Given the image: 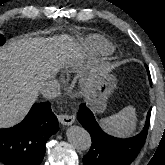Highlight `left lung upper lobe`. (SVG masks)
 Returning a JSON list of instances; mask_svg holds the SVG:
<instances>
[{"mask_svg": "<svg viewBox=\"0 0 165 165\" xmlns=\"http://www.w3.org/2000/svg\"><path fill=\"white\" fill-rule=\"evenodd\" d=\"M145 67H146V69L148 71V75L150 76L149 69H148L147 65H145Z\"/></svg>", "mask_w": 165, "mask_h": 165, "instance_id": "1", "label": "left lung upper lobe"}]
</instances>
